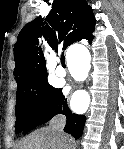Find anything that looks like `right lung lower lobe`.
Segmentation results:
<instances>
[{"label": "right lung lower lobe", "mask_w": 124, "mask_h": 149, "mask_svg": "<svg viewBox=\"0 0 124 149\" xmlns=\"http://www.w3.org/2000/svg\"><path fill=\"white\" fill-rule=\"evenodd\" d=\"M57 114H63L66 117L67 122L64 131L71 134L75 139H79L83 134L86 117L84 115L72 113L69 110L67 99L61 92V89H57L54 93L51 103L45 111L38 112L28 119L24 126L23 133H28L36 126L49 121Z\"/></svg>", "instance_id": "1"}]
</instances>
